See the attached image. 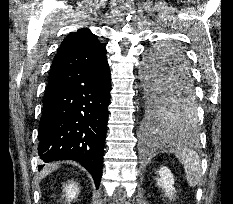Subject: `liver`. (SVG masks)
Returning <instances> with one entry per match:
<instances>
[{
    "instance_id": "liver-1",
    "label": "liver",
    "mask_w": 233,
    "mask_h": 204,
    "mask_svg": "<svg viewBox=\"0 0 233 204\" xmlns=\"http://www.w3.org/2000/svg\"><path fill=\"white\" fill-rule=\"evenodd\" d=\"M58 167H59V163L49 164L41 172L40 178H43V177L47 176L50 172L55 171Z\"/></svg>"
}]
</instances>
